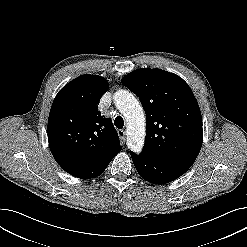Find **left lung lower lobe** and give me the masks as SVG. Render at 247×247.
<instances>
[{"label":"left lung lower lobe","mask_w":247,"mask_h":247,"mask_svg":"<svg viewBox=\"0 0 247 247\" xmlns=\"http://www.w3.org/2000/svg\"><path fill=\"white\" fill-rule=\"evenodd\" d=\"M131 157L139 175L146 181L155 184L168 183L177 179L192 165L163 160L143 152L139 155L132 153Z\"/></svg>","instance_id":"1"}]
</instances>
